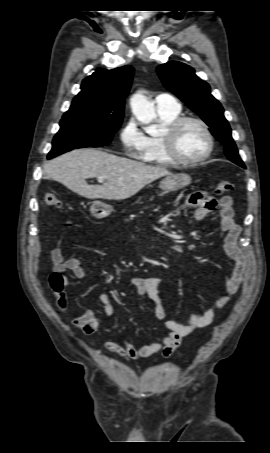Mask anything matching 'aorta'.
<instances>
[{
  "label": "aorta",
  "instance_id": "762f6f07",
  "mask_svg": "<svg viewBox=\"0 0 270 453\" xmlns=\"http://www.w3.org/2000/svg\"><path fill=\"white\" fill-rule=\"evenodd\" d=\"M132 113L142 124L147 125L145 131L154 135L158 132V126L152 124L157 115L154 104L147 99L142 91L136 92L130 99Z\"/></svg>",
  "mask_w": 270,
  "mask_h": 453
}]
</instances>
